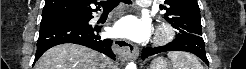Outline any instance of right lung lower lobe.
<instances>
[{"mask_svg":"<svg viewBox=\"0 0 246 69\" xmlns=\"http://www.w3.org/2000/svg\"><path fill=\"white\" fill-rule=\"evenodd\" d=\"M91 18L92 16L88 20L61 19L41 22L35 60L49 48L69 42L90 47L115 59L111 50L112 40L103 39L98 35L100 27L88 24Z\"/></svg>","mask_w":246,"mask_h":69,"instance_id":"obj_1","label":"right lung lower lobe"}]
</instances>
